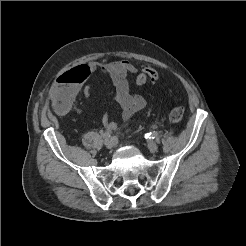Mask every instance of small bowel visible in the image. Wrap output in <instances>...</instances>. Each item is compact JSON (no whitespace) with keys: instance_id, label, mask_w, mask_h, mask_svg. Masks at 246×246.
Returning <instances> with one entry per match:
<instances>
[{"instance_id":"c3829d8e","label":"small bowel","mask_w":246,"mask_h":246,"mask_svg":"<svg viewBox=\"0 0 246 246\" xmlns=\"http://www.w3.org/2000/svg\"><path fill=\"white\" fill-rule=\"evenodd\" d=\"M136 71V67L127 60L108 63L92 61L78 65L57 78L49 93L51 107L59 116L74 110L75 99L81 89L85 96L89 97V88L83 85L86 79L94 73H101L111 80L115 89V100L122 110V118L129 120L147 104L143 96L130 91L127 76ZM102 123L109 131L117 128L116 122L110 120L107 114L103 116Z\"/></svg>"}]
</instances>
